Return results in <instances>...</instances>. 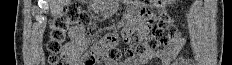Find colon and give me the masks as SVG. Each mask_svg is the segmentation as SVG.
Masks as SVG:
<instances>
[{"label": "colon", "mask_w": 232, "mask_h": 65, "mask_svg": "<svg viewBox=\"0 0 232 65\" xmlns=\"http://www.w3.org/2000/svg\"><path fill=\"white\" fill-rule=\"evenodd\" d=\"M147 12V11H141ZM87 28L94 30L95 25L91 16L83 8L76 4H71L58 15L50 27L47 50L49 52V63L51 65H62L60 55L64 56V48L67 32L71 28ZM176 34V27L172 17L161 10L158 22L154 26L151 34L142 37L133 50H130L132 57L145 55L159 50L162 46L168 44ZM115 37H104L97 40L93 46L83 54L84 65H97L102 62L116 61L122 53L117 48Z\"/></svg>", "instance_id": "1"}]
</instances>
